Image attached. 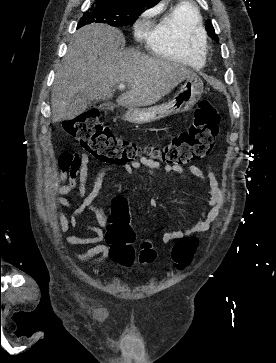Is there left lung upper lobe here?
I'll list each match as a JSON object with an SVG mask.
<instances>
[{
    "instance_id": "obj_1",
    "label": "left lung upper lobe",
    "mask_w": 276,
    "mask_h": 363,
    "mask_svg": "<svg viewBox=\"0 0 276 363\" xmlns=\"http://www.w3.org/2000/svg\"><path fill=\"white\" fill-rule=\"evenodd\" d=\"M206 30H207V32L209 33L210 36H213V38H215L216 41H218L219 38L215 34V30H214V28H213V26H212V24H211V22L209 20L207 21V24H206Z\"/></svg>"
}]
</instances>
